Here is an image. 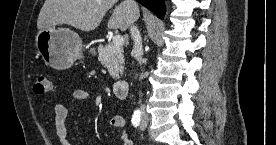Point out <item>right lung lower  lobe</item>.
<instances>
[{
  "instance_id": "1",
  "label": "right lung lower lobe",
  "mask_w": 276,
  "mask_h": 145,
  "mask_svg": "<svg viewBox=\"0 0 276 145\" xmlns=\"http://www.w3.org/2000/svg\"><path fill=\"white\" fill-rule=\"evenodd\" d=\"M146 8L153 11L159 18L164 17L165 6L163 0H136Z\"/></svg>"
}]
</instances>
